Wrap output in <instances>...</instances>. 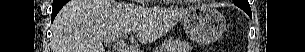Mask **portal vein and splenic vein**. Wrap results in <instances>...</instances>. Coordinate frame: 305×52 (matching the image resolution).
<instances>
[{
	"mask_svg": "<svg viewBox=\"0 0 305 52\" xmlns=\"http://www.w3.org/2000/svg\"><path fill=\"white\" fill-rule=\"evenodd\" d=\"M105 42L111 43L113 40H105ZM113 48L120 52H137L134 48L126 46L123 42H117Z\"/></svg>",
	"mask_w": 305,
	"mask_h": 52,
	"instance_id": "portal-vein-and-splenic-vein-1",
	"label": "portal vein and splenic vein"
}]
</instances>
